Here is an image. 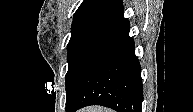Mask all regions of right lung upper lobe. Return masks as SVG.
I'll return each instance as SVG.
<instances>
[{
    "label": "right lung upper lobe",
    "mask_w": 193,
    "mask_h": 112,
    "mask_svg": "<svg viewBox=\"0 0 193 112\" xmlns=\"http://www.w3.org/2000/svg\"><path fill=\"white\" fill-rule=\"evenodd\" d=\"M127 26L121 0H84L74 14L71 29L96 28L117 33Z\"/></svg>",
    "instance_id": "cb5924a9"
}]
</instances>
